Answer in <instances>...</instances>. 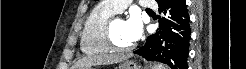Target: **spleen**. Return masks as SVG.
<instances>
[{"instance_id": "1", "label": "spleen", "mask_w": 246, "mask_h": 69, "mask_svg": "<svg viewBox=\"0 0 246 69\" xmlns=\"http://www.w3.org/2000/svg\"><path fill=\"white\" fill-rule=\"evenodd\" d=\"M159 69H163V65H158Z\"/></svg>"}]
</instances>
